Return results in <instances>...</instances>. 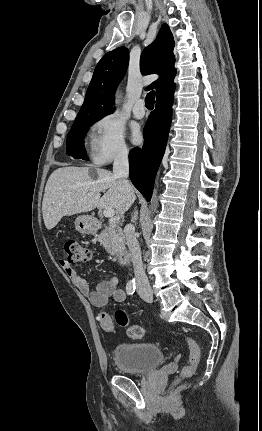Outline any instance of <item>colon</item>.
I'll return each mask as SVG.
<instances>
[{"instance_id": "1", "label": "colon", "mask_w": 262, "mask_h": 431, "mask_svg": "<svg viewBox=\"0 0 262 431\" xmlns=\"http://www.w3.org/2000/svg\"><path fill=\"white\" fill-rule=\"evenodd\" d=\"M65 264H77L86 261L90 256L89 248L78 241L69 240L64 244ZM116 323L123 328H126L128 337L132 339H143L145 336L144 329L135 324H130L127 313L124 310H117L115 313ZM99 322L102 329L106 332H111L115 328L114 319L107 313H102L99 316ZM185 341L190 347V355L188 362L181 369V377L189 378L194 375L201 359V352L197 342L185 336Z\"/></svg>"}]
</instances>
